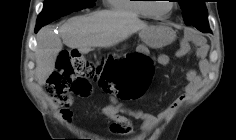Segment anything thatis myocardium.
I'll use <instances>...</instances> for the list:
<instances>
[{"instance_id": "obj_1", "label": "myocardium", "mask_w": 236, "mask_h": 140, "mask_svg": "<svg viewBox=\"0 0 236 140\" xmlns=\"http://www.w3.org/2000/svg\"><path fill=\"white\" fill-rule=\"evenodd\" d=\"M150 1H153V0H150ZM148 9H149V11H150V13H151V16H153V17H155V18H157V19H165V18H168V17L171 15V13L174 11L175 5H174L173 2H171V4H170V9H169V11H168L167 13H165V14H159V13L155 10V7H154L153 4H148Z\"/></svg>"}]
</instances>
